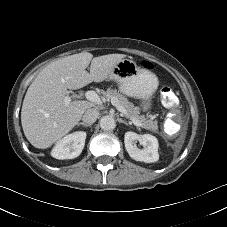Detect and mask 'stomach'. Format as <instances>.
I'll use <instances>...</instances> for the list:
<instances>
[{
  "instance_id": "stomach-1",
  "label": "stomach",
  "mask_w": 227,
  "mask_h": 227,
  "mask_svg": "<svg viewBox=\"0 0 227 227\" xmlns=\"http://www.w3.org/2000/svg\"><path fill=\"white\" fill-rule=\"evenodd\" d=\"M109 79L118 84L123 94L141 99L144 110L151 107V98L158 87L154 73L139 67L131 59H123L116 64Z\"/></svg>"
}]
</instances>
